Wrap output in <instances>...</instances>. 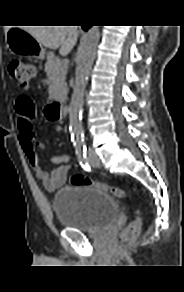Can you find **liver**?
<instances>
[{
    "label": "liver",
    "instance_id": "1",
    "mask_svg": "<svg viewBox=\"0 0 184 292\" xmlns=\"http://www.w3.org/2000/svg\"><path fill=\"white\" fill-rule=\"evenodd\" d=\"M9 28H7L6 32ZM22 29L49 49L60 47L59 52L64 56L71 52L79 34L77 26H28Z\"/></svg>",
    "mask_w": 184,
    "mask_h": 292
}]
</instances>
